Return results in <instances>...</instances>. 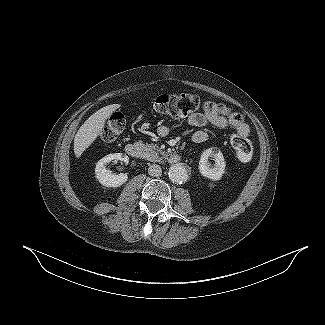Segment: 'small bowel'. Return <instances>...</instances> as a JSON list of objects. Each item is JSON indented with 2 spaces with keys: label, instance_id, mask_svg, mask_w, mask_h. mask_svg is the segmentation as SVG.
Returning <instances> with one entry per match:
<instances>
[{
  "label": "small bowel",
  "instance_id": "small-bowel-1",
  "mask_svg": "<svg viewBox=\"0 0 325 325\" xmlns=\"http://www.w3.org/2000/svg\"><path fill=\"white\" fill-rule=\"evenodd\" d=\"M189 125L198 128L192 134V141L203 143L207 140L208 134L202 128L206 125H214L219 128H232L236 134L247 139L250 129L245 123L241 113L231 110L226 104L206 101L203 105V112L195 113L188 118ZM169 128L166 125L158 127V134L161 137L167 136Z\"/></svg>",
  "mask_w": 325,
  "mask_h": 325
}]
</instances>
